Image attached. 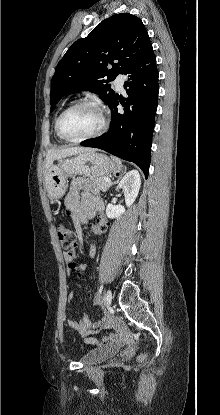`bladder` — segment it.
<instances>
[{"instance_id": "1", "label": "bladder", "mask_w": 220, "mask_h": 415, "mask_svg": "<svg viewBox=\"0 0 220 415\" xmlns=\"http://www.w3.org/2000/svg\"><path fill=\"white\" fill-rule=\"evenodd\" d=\"M120 351L121 347L117 345L91 349L82 357L81 362L85 365L97 364L115 357Z\"/></svg>"}]
</instances>
